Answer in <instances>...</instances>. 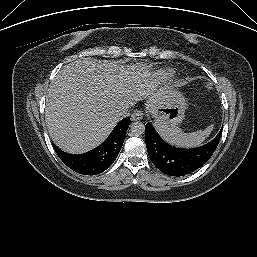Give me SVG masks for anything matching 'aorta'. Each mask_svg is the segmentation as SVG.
<instances>
[{
	"mask_svg": "<svg viewBox=\"0 0 257 257\" xmlns=\"http://www.w3.org/2000/svg\"><path fill=\"white\" fill-rule=\"evenodd\" d=\"M130 129L134 135H141L145 131V125L140 121H136L130 125Z\"/></svg>",
	"mask_w": 257,
	"mask_h": 257,
	"instance_id": "762f6f07",
	"label": "aorta"
}]
</instances>
